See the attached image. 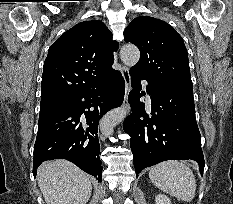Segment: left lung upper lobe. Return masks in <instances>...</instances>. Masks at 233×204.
Here are the masks:
<instances>
[{"instance_id":"1","label":"left lung upper lobe","mask_w":233,"mask_h":204,"mask_svg":"<svg viewBox=\"0 0 233 204\" xmlns=\"http://www.w3.org/2000/svg\"><path fill=\"white\" fill-rule=\"evenodd\" d=\"M125 41L140 50L138 63L130 69L163 87L193 92L188 54L181 36L168 23L140 16L124 31Z\"/></svg>"}]
</instances>
